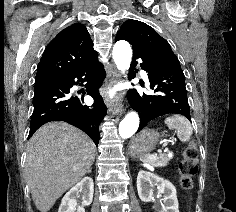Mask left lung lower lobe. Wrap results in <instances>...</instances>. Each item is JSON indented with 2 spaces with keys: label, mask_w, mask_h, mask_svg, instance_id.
<instances>
[{
  "label": "left lung lower lobe",
  "mask_w": 236,
  "mask_h": 212,
  "mask_svg": "<svg viewBox=\"0 0 236 212\" xmlns=\"http://www.w3.org/2000/svg\"><path fill=\"white\" fill-rule=\"evenodd\" d=\"M118 41V40H116ZM148 73L150 95L129 90L128 100L140 117L139 132L151 120L165 114H181L191 121L185 76L176 56L133 55L131 70L138 63ZM143 86V84H141Z\"/></svg>",
  "instance_id": "1"
}]
</instances>
